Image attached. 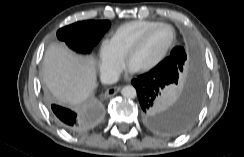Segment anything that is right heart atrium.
<instances>
[{"label":"right heart atrium","instance_id":"right-heart-atrium-1","mask_svg":"<svg viewBox=\"0 0 244 157\" xmlns=\"http://www.w3.org/2000/svg\"><path fill=\"white\" fill-rule=\"evenodd\" d=\"M123 56L120 55L109 40H104L99 49V72L101 78L112 81L120 72Z\"/></svg>","mask_w":244,"mask_h":157}]
</instances>
